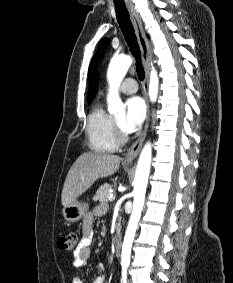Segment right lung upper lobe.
I'll list each match as a JSON object with an SVG mask.
<instances>
[{
    "label": "right lung upper lobe",
    "mask_w": 233,
    "mask_h": 283,
    "mask_svg": "<svg viewBox=\"0 0 233 283\" xmlns=\"http://www.w3.org/2000/svg\"><path fill=\"white\" fill-rule=\"evenodd\" d=\"M98 88V72H97V65L94 68L91 81H90V86H89V96H88V103L90 104L91 101L93 100V97L97 91Z\"/></svg>",
    "instance_id": "cb5924a9"
}]
</instances>
